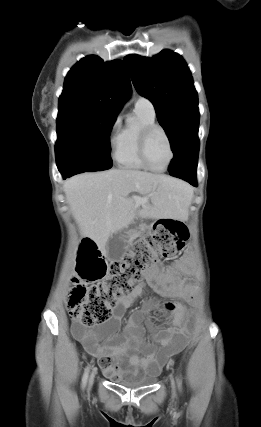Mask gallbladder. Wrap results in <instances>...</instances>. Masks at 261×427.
Returning <instances> with one entry per match:
<instances>
[{
    "label": "gallbladder",
    "instance_id": "gallbladder-1",
    "mask_svg": "<svg viewBox=\"0 0 261 427\" xmlns=\"http://www.w3.org/2000/svg\"><path fill=\"white\" fill-rule=\"evenodd\" d=\"M105 248L109 260H120L125 254V244L118 234H114L108 239Z\"/></svg>",
    "mask_w": 261,
    "mask_h": 427
}]
</instances>
